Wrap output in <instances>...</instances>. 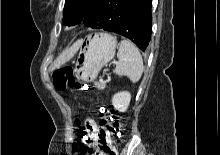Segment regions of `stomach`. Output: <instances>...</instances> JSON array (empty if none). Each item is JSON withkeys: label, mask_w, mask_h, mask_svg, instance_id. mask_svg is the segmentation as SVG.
<instances>
[{"label": "stomach", "mask_w": 220, "mask_h": 155, "mask_svg": "<svg viewBox=\"0 0 220 155\" xmlns=\"http://www.w3.org/2000/svg\"><path fill=\"white\" fill-rule=\"evenodd\" d=\"M116 46V38L106 32L86 37L75 62V76L83 82L94 81L103 66L114 57Z\"/></svg>", "instance_id": "stomach-1"}]
</instances>
